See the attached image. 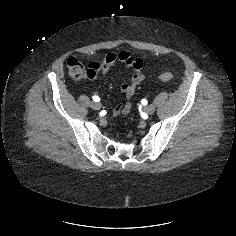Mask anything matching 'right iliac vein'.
I'll return each mask as SVG.
<instances>
[{"label": "right iliac vein", "mask_w": 236, "mask_h": 236, "mask_svg": "<svg viewBox=\"0 0 236 236\" xmlns=\"http://www.w3.org/2000/svg\"><path fill=\"white\" fill-rule=\"evenodd\" d=\"M91 108L93 109V110H100L101 109V105H100V103H98V102H92L91 103Z\"/></svg>", "instance_id": "right-iliac-vein-1"}]
</instances>
